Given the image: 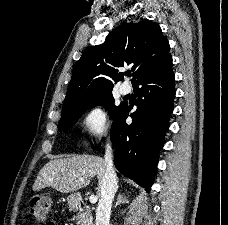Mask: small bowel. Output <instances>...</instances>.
<instances>
[{
	"label": "small bowel",
	"instance_id": "obj_1",
	"mask_svg": "<svg viewBox=\"0 0 228 225\" xmlns=\"http://www.w3.org/2000/svg\"><path fill=\"white\" fill-rule=\"evenodd\" d=\"M51 225H57V223L52 221V224Z\"/></svg>",
	"mask_w": 228,
	"mask_h": 225
}]
</instances>
